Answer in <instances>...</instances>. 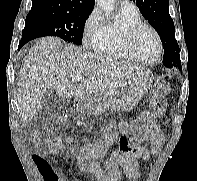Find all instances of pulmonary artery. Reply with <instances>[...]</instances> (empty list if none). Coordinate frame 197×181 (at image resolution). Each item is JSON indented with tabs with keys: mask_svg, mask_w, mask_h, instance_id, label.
I'll use <instances>...</instances> for the list:
<instances>
[{
	"mask_svg": "<svg viewBox=\"0 0 197 181\" xmlns=\"http://www.w3.org/2000/svg\"><path fill=\"white\" fill-rule=\"evenodd\" d=\"M120 6L124 7V8H131V7H135V5L133 4V2L129 1V0H121L120 1Z\"/></svg>",
	"mask_w": 197,
	"mask_h": 181,
	"instance_id": "pulmonary-artery-1",
	"label": "pulmonary artery"
}]
</instances>
